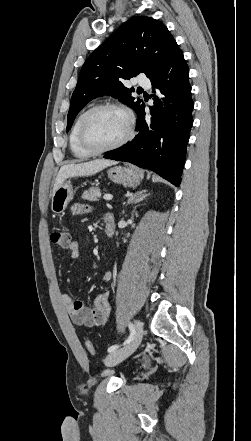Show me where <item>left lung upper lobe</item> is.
Returning a JSON list of instances; mask_svg holds the SVG:
<instances>
[{
	"instance_id": "1",
	"label": "left lung upper lobe",
	"mask_w": 251,
	"mask_h": 441,
	"mask_svg": "<svg viewBox=\"0 0 251 441\" xmlns=\"http://www.w3.org/2000/svg\"><path fill=\"white\" fill-rule=\"evenodd\" d=\"M176 41L167 27L151 18L136 16L123 23L86 60L72 94L67 116L68 131L79 111L92 99L112 95L135 111L141 99L123 80L140 73L151 78L164 64Z\"/></svg>"
}]
</instances>
